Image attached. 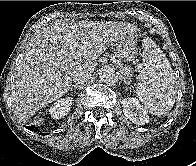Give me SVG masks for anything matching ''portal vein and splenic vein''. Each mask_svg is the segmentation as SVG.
<instances>
[{"instance_id":"18ae733b","label":"portal vein and splenic vein","mask_w":196,"mask_h":166,"mask_svg":"<svg viewBox=\"0 0 196 166\" xmlns=\"http://www.w3.org/2000/svg\"><path fill=\"white\" fill-rule=\"evenodd\" d=\"M82 49H83V47H80V48H79L78 52L76 53V56H77V57H80V56L82 55ZM141 67H142L141 64H139V65H138V68H141Z\"/></svg>"}]
</instances>
